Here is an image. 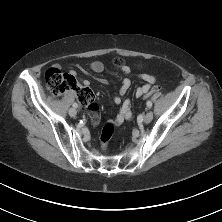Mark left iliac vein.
I'll list each match as a JSON object with an SVG mask.
<instances>
[{
	"mask_svg": "<svg viewBox=\"0 0 222 222\" xmlns=\"http://www.w3.org/2000/svg\"><path fill=\"white\" fill-rule=\"evenodd\" d=\"M153 119V113L151 111H148L144 117V123H150Z\"/></svg>",
	"mask_w": 222,
	"mask_h": 222,
	"instance_id": "left-iliac-vein-1",
	"label": "left iliac vein"
}]
</instances>
